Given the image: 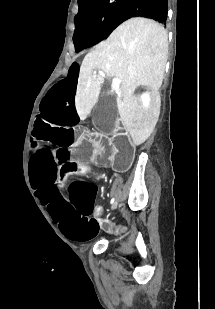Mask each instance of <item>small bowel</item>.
<instances>
[{
	"instance_id": "c3829d8e",
	"label": "small bowel",
	"mask_w": 215,
	"mask_h": 309,
	"mask_svg": "<svg viewBox=\"0 0 215 309\" xmlns=\"http://www.w3.org/2000/svg\"><path fill=\"white\" fill-rule=\"evenodd\" d=\"M102 208L101 207H96L94 213H93V219L95 220L96 218H98L99 216H101L102 213Z\"/></svg>"
}]
</instances>
